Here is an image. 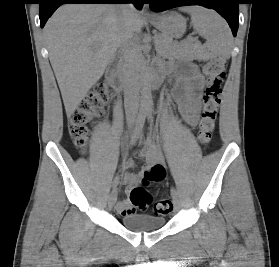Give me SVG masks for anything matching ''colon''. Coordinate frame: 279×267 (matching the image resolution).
Segmentation results:
<instances>
[{
	"mask_svg": "<svg viewBox=\"0 0 279 267\" xmlns=\"http://www.w3.org/2000/svg\"><path fill=\"white\" fill-rule=\"evenodd\" d=\"M207 86L203 95V109L198 124L197 139L206 145L212 138L221 103L222 82L226 75V63L222 58H214L203 67ZM113 100L107 83L98 85L69 116V133L78 148H84L88 142L89 125L101 114L103 108ZM164 171L157 167H147L143 172L142 186L131 190L129 199L134 207L145 210L152 205L156 215H166L172 211V202L164 198L152 203V197L146 187L161 181Z\"/></svg>",
	"mask_w": 279,
	"mask_h": 267,
	"instance_id": "obj_1",
	"label": "colon"
}]
</instances>
